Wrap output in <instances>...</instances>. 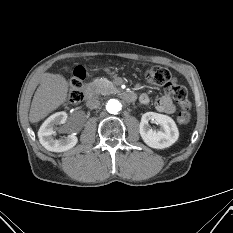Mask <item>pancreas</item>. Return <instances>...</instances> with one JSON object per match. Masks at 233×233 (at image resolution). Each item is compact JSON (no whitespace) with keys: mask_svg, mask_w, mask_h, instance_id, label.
<instances>
[{"mask_svg":"<svg viewBox=\"0 0 233 233\" xmlns=\"http://www.w3.org/2000/svg\"><path fill=\"white\" fill-rule=\"evenodd\" d=\"M93 93L108 95L115 92L116 88L113 82L109 81L107 78H96L90 83Z\"/></svg>","mask_w":233,"mask_h":233,"instance_id":"1","label":"pancreas"}]
</instances>
